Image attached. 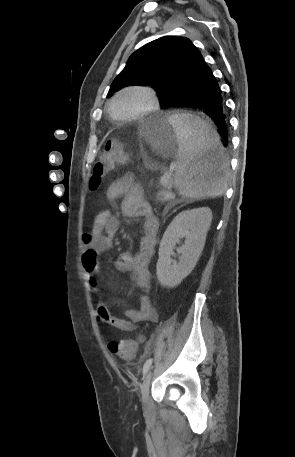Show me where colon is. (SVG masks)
Instances as JSON below:
<instances>
[{
	"label": "colon",
	"instance_id": "colon-1",
	"mask_svg": "<svg viewBox=\"0 0 295 457\" xmlns=\"http://www.w3.org/2000/svg\"><path fill=\"white\" fill-rule=\"evenodd\" d=\"M127 162V155L122 143L117 139L108 140L101 149L98 161L93 168V175L90 179V188L97 189L102 179L117 167ZM137 339H124L106 341V350H110L111 355H118L123 359L131 360L138 346Z\"/></svg>",
	"mask_w": 295,
	"mask_h": 457
}]
</instances>
